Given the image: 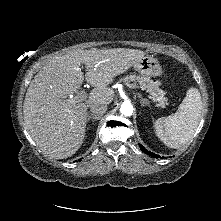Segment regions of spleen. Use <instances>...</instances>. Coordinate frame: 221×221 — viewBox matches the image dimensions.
Returning <instances> with one entry per match:
<instances>
[{
	"label": "spleen",
	"mask_w": 221,
	"mask_h": 221,
	"mask_svg": "<svg viewBox=\"0 0 221 221\" xmlns=\"http://www.w3.org/2000/svg\"><path fill=\"white\" fill-rule=\"evenodd\" d=\"M202 112V100L197 88L187 90L186 97L175 114L156 120L157 137L168 147L178 149L193 137Z\"/></svg>",
	"instance_id": "spleen-1"
}]
</instances>
